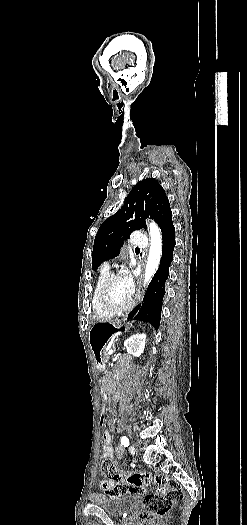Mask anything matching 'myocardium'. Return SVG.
<instances>
[{"instance_id":"1","label":"myocardium","mask_w":247,"mask_h":525,"mask_svg":"<svg viewBox=\"0 0 247 525\" xmlns=\"http://www.w3.org/2000/svg\"><path fill=\"white\" fill-rule=\"evenodd\" d=\"M123 274H124L123 272L111 273L97 287V295L100 298V306L107 313L112 314V313L118 312L121 309H129L133 306V303L132 301H130L129 298H127V300L124 302H119V301H110L105 296V292L107 288L109 287L110 283L114 279L122 277Z\"/></svg>"}]
</instances>
